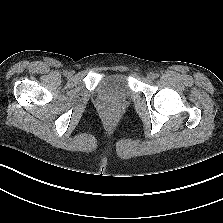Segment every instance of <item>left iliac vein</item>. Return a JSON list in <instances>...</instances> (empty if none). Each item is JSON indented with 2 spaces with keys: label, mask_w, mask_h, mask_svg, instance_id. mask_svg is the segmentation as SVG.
I'll use <instances>...</instances> for the list:
<instances>
[{
  "label": "left iliac vein",
  "mask_w": 223,
  "mask_h": 223,
  "mask_svg": "<svg viewBox=\"0 0 223 223\" xmlns=\"http://www.w3.org/2000/svg\"><path fill=\"white\" fill-rule=\"evenodd\" d=\"M154 78H155V74H154V73H148V74H147V79H148L149 81L154 80Z\"/></svg>",
  "instance_id": "obj_1"
}]
</instances>
